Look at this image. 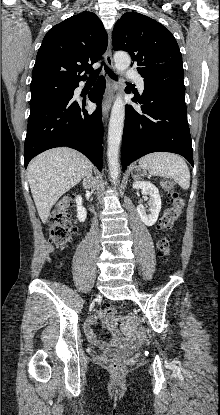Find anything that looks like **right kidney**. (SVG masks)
<instances>
[{
  "label": "right kidney",
  "instance_id": "right-kidney-1",
  "mask_svg": "<svg viewBox=\"0 0 220 415\" xmlns=\"http://www.w3.org/2000/svg\"><path fill=\"white\" fill-rule=\"evenodd\" d=\"M76 203H77V218L80 222H84L87 217V212H86V209L82 205L81 196L76 197Z\"/></svg>",
  "mask_w": 220,
  "mask_h": 415
}]
</instances>
